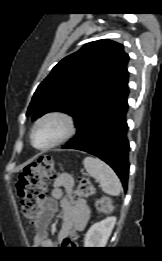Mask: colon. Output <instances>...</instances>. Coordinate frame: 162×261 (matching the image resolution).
I'll list each match as a JSON object with an SVG mask.
<instances>
[{"label": "colon", "mask_w": 162, "mask_h": 261, "mask_svg": "<svg viewBox=\"0 0 162 261\" xmlns=\"http://www.w3.org/2000/svg\"><path fill=\"white\" fill-rule=\"evenodd\" d=\"M55 170L53 161L49 156H42L38 161L29 165L20 174L17 183V191L20 198L21 212L29 222H38L40 219V201L43 198L47 186L54 180ZM97 194L96 187L91 181L79 176L76 180L75 197L77 199H89ZM96 208L102 213H110L113 209L111 199L102 195L96 202ZM73 244V241L66 239L62 245Z\"/></svg>", "instance_id": "5ec220e1"}]
</instances>
